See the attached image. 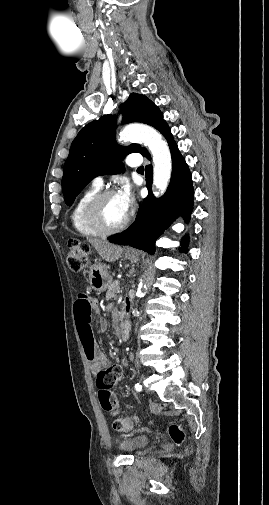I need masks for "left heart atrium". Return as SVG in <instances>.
<instances>
[{
    "label": "left heart atrium",
    "mask_w": 269,
    "mask_h": 505,
    "mask_svg": "<svg viewBox=\"0 0 269 505\" xmlns=\"http://www.w3.org/2000/svg\"><path fill=\"white\" fill-rule=\"evenodd\" d=\"M117 200L122 210L128 215L134 205V197L128 184L123 185L116 193Z\"/></svg>",
    "instance_id": "1"
}]
</instances>
